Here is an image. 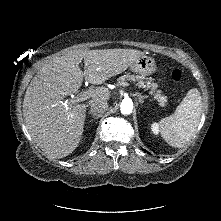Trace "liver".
<instances>
[{"label": "liver", "mask_w": 221, "mask_h": 221, "mask_svg": "<svg viewBox=\"0 0 221 221\" xmlns=\"http://www.w3.org/2000/svg\"><path fill=\"white\" fill-rule=\"evenodd\" d=\"M143 52L135 49L74 50L54 58L30 82L24 102L23 117L34 142L48 156L63 158L72 153L81 141L86 104L65 101L76 93L83 78L99 85L124 72ZM84 59V72L79 64ZM95 100H108L110 91L98 87L91 92Z\"/></svg>", "instance_id": "liver-1"}]
</instances>
